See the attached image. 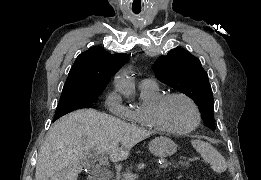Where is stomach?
Here are the masks:
<instances>
[{
    "label": "stomach",
    "instance_id": "obj_1",
    "mask_svg": "<svg viewBox=\"0 0 261 180\" xmlns=\"http://www.w3.org/2000/svg\"><path fill=\"white\" fill-rule=\"evenodd\" d=\"M149 151L161 158L173 155L177 151V145L167 137H157L149 143Z\"/></svg>",
    "mask_w": 261,
    "mask_h": 180
}]
</instances>
